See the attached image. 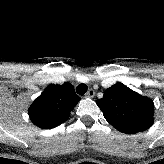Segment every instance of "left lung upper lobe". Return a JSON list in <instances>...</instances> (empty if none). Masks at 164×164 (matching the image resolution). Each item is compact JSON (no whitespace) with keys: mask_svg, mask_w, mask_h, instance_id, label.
Returning a JSON list of instances; mask_svg holds the SVG:
<instances>
[{"mask_svg":"<svg viewBox=\"0 0 164 164\" xmlns=\"http://www.w3.org/2000/svg\"><path fill=\"white\" fill-rule=\"evenodd\" d=\"M96 104L105 119L118 131L135 134L153 124L154 103L120 82L106 89Z\"/></svg>","mask_w":164,"mask_h":164,"instance_id":"1","label":"left lung upper lobe"}]
</instances>
